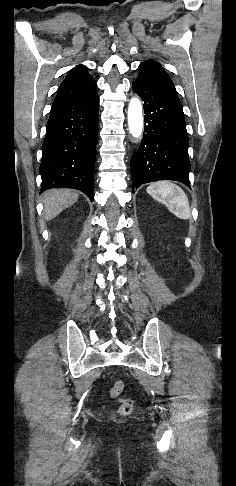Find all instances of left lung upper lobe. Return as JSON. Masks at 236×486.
I'll list each match as a JSON object with an SVG mask.
<instances>
[{"label": "left lung upper lobe", "mask_w": 236, "mask_h": 486, "mask_svg": "<svg viewBox=\"0 0 236 486\" xmlns=\"http://www.w3.org/2000/svg\"><path fill=\"white\" fill-rule=\"evenodd\" d=\"M138 78L147 81L157 89L179 100L171 78L158 62L154 60H147L142 62L139 65Z\"/></svg>", "instance_id": "obj_1"}]
</instances>
